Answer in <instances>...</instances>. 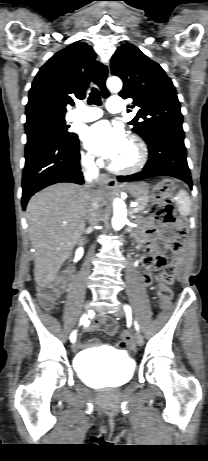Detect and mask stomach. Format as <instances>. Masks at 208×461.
Instances as JSON below:
<instances>
[{
    "mask_svg": "<svg viewBox=\"0 0 208 461\" xmlns=\"http://www.w3.org/2000/svg\"><path fill=\"white\" fill-rule=\"evenodd\" d=\"M127 190L136 199L148 196L149 186L145 182H136L127 185Z\"/></svg>",
    "mask_w": 208,
    "mask_h": 461,
    "instance_id": "stomach-1",
    "label": "stomach"
}]
</instances>
